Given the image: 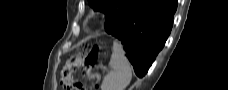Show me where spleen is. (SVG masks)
Segmentation results:
<instances>
[{
    "label": "spleen",
    "instance_id": "obj_1",
    "mask_svg": "<svg viewBox=\"0 0 228 90\" xmlns=\"http://www.w3.org/2000/svg\"><path fill=\"white\" fill-rule=\"evenodd\" d=\"M111 71L103 78L101 90H125L132 78V68L120 43L113 42L109 62Z\"/></svg>",
    "mask_w": 228,
    "mask_h": 90
}]
</instances>
